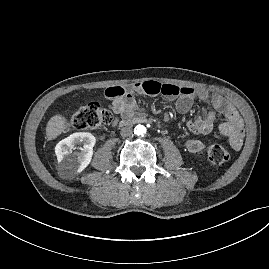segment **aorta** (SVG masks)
<instances>
[{
	"label": "aorta",
	"mask_w": 269,
	"mask_h": 269,
	"mask_svg": "<svg viewBox=\"0 0 269 269\" xmlns=\"http://www.w3.org/2000/svg\"><path fill=\"white\" fill-rule=\"evenodd\" d=\"M134 133L138 136H144L146 133V127L143 125H137L134 129Z\"/></svg>",
	"instance_id": "aorta-1"
}]
</instances>
